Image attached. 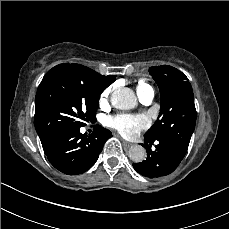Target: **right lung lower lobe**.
Returning <instances> with one entry per match:
<instances>
[{
    "label": "right lung lower lobe",
    "instance_id": "obj_1",
    "mask_svg": "<svg viewBox=\"0 0 229 229\" xmlns=\"http://www.w3.org/2000/svg\"><path fill=\"white\" fill-rule=\"evenodd\" d=\"M112 133L99 125L88 137L80 127H71L58 133L43 150L49 162L60 172L77 175L87 171L97 161L104 143Z\"/></svg>",
    "mask_w": 229,
    "mask_h": 229
}]
</instances>
